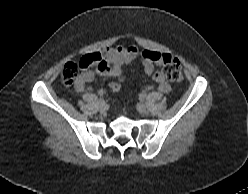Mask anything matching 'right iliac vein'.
Here are the masks:
<instances>
[{"instance_id":"right-iliac-vein-1","label":"right iliac vein","mask_w":248,"mask_h":194,"mask_svg":"<svg viewBox=\"0 0 248 194\" xmlns=\"http://www.w3.org/2000/svg\"><path fill=\"white\" fill-rule=\"evenodd\" d=\"M98 105H99V108H100L101 111L106 110L107 105H106L105 101H99Z\"/></svg>"}]
</instances>
